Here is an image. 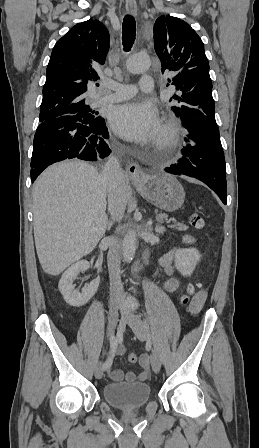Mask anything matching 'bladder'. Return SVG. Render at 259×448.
<instances>
[{
  "mask_svg": "<svg viewBox=\"0 0 259 448\" xmlns=\"http://www.w3.org/2000/svg\"><path fill=\"white\" fill-rule=\"evenodd\" d=\"M105 400L113 407L132 410L143 407L150 399L151 388L147 383H109L103 388Z\"/></svg>",
  "mask_w": 259,
  "mask_h": 448,
  "instance_id": "bladder-1",
  "label": "bladder"
}]
</instances>
